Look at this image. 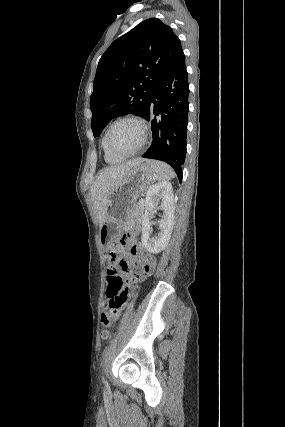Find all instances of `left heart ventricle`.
I'll return each mask as SVG.
<instances>
[{
  "mask_svg": "<svg viewBox=\"0 0 285 427\" xmlns=\"http://www.w3.org/2000/svg\"><path fill=\"white\" fill-rule=\"evenodd\" d=\"M142 133L138 124L125 121L115 125L110 133L109 142L112 148L120 152H130L141 141Z\"/></svg>",
  "mask_w": 285,
  "mask_h": 427,
  "instance_id": "1",
  "label": "left heart ventricle"
}]
</instances>
